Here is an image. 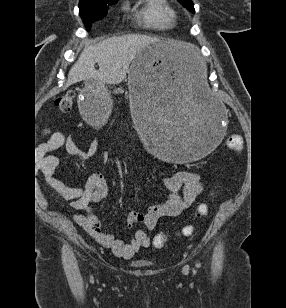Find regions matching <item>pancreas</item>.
Segmentation results:
<instances>
[{
	"instance_id": "cf45deb5",
	"label": "pancreas",
	"mask_w": 286,
	"mask_h": 308,
	"mask_svg": "<svg viewBox=\"0 0 286 308\" xmlns=\"http://www.w3.org/2000/svg\"><path fill=\"white\" fill-rule=\"evenodd\" d=\"M114 93L115 94L124 93V90L122 88H119V89L115 90Z\"/></svg>"
}]
</instances>
